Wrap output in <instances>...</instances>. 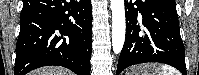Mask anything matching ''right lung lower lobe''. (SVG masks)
Instances as JSON below:
<instances>
[{"label": "right lung lower lobe", "instance_id": "1", "mask_svg": "<svg viewBox=\"0 0 199 75\" xmlns=\"http://www.w3.org/2000/svg\"><path fill=\"white\" fill-rule=\"evenodd\" d=\"M15 75L48 65L90 75L91 0H23Z\"/></svg>", "mask_w": 199, "mask_h": 75}]
</instances>
